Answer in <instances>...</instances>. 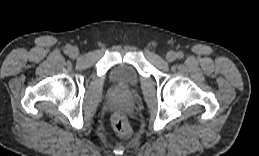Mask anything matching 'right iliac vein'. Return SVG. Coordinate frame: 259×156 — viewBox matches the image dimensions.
Returning <instances> with one entry per match:
<instances>
[{"instance_id":"63e3f726","label":"right iliac vein","mask_w":259,"mask_h":156,"mask_svg":"<svg viewBox=\"0 0 259 156\" xmlns=\"http://www.w3.org/2000/svg\"><path fill=\"white\" fill-rule=\"evenodd\" d=\"M78 54H79V49H78L77 47H72V48L70 49V55H71L72 57H77Z\"/></svg>"}]
</instances>
